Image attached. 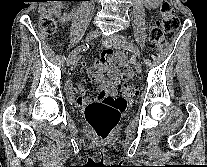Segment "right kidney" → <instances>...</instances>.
Here are the masks:
<instances>
[{
	"mask_svg": "<svg viewBox=\"0 0 207 167\" xmlns=\"http://www.w3.org/2000/svg\"><path fill=\"white\" fill-rule=\"evenodd\" d=\"M55 6H54V13L55 15L62 21V22H68L72 19V14H64L63 16L61 15V9L64 6L63 1H54Z\"/></svg>",
	"mask_w": 207,
	"mask_h": 167,
	"instance_id": "obj_1",
	"label": "right kidney"
}]
</instances>
